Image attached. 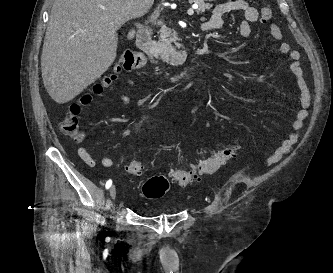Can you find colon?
Instances as JSON below:
<instances>
[{
  "instance_id": "1",
  "label": "colon",
  "mask_w": 333,
  "mask_h": 273,
  "mask_svg": "<svg viewBox=\"0 0 333 273\" xmlns=\"http://www.w3.org/2000/svg\"><path fill=\"white\" fill-rule=\"evenodd\" d=\"M273 17V11L270 7L261 9V20L266 23ZM146 65V58L136 51H125L114 64L112 71L106 75L101 82L96 83L92 89L83 94L80 99L72 103L69 111L61 123V131L64 135L79 139L82 135L79 117L81 108L88 105L94 96L100 95L105 88L111 85L116 79V76L121 71H129L136 68H141ZM239 145L236 143L230 144L213 156L201 161L197 167L191 170H174L171 173V178L180 186H187L199 180L202 175H210L215 173L220 167L235 157ZM144 163L140 160H130L126 163V173L131 180L142 176L144 172ZM169 189V180L164 175H155L148 178L141 185L142 195L149 199L161 198Z\"/></svg>"
}]
</instances>
